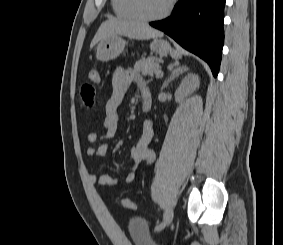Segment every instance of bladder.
Instances as JSON below:
<instances>
[{"label":"bladder","instance_id":"31cf9c89","mask_svg":"<svg viewBox=\"0 0 283 245\" xmlns=\"http://www.w3.org/2000/svg\"><path fill=\"white\" fill-rule=\"evenodd\" d=\"M127 230L134 245H158L146 220L132 217L127 224Z\"/></svg>","mask_w":283,"mask_h":245}]
</instances>
